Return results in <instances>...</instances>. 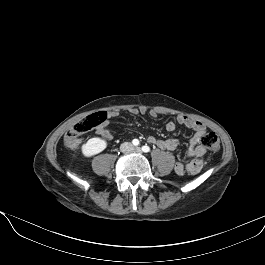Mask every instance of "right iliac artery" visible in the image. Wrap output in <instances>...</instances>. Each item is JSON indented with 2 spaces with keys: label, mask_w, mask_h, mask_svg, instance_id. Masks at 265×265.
Here are the masks:
<instances>
[{
  "label": "right iliac artery",
  "mask_w": 265,
  "mask_h": 265,
  "mask_svg": "<svg viewBox=\"0 0 265 265\" xmlns=\"http://www.w3.org/2000/svg\"><path fill=\"white\" fill-rule=\"evenodd\" d=\"M132 143H133V145L138 146L139 145V140L138 139H134L132 141Z\"/></svg>",
  "instance_id": "1"
}]
</instances>
